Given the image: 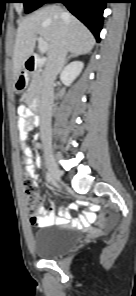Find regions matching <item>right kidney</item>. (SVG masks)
<instances>
[{"label": "right kidney", "mask_w": 136, "mask_h": 296, "mask_svg": "<svg viewBox=\"0 0 136 296\" xmlns=\"http://www.w3.org/2000/svg\"><path fill=\"white\" fill-rule=\"evenodd\" d=\"M84 63L81 61H74L64 68L60 75L61 81L66 85L70 86L71 83L80 75Z\"/></svg>", "instance_id": "right-kidney-1"}]
</instances>
